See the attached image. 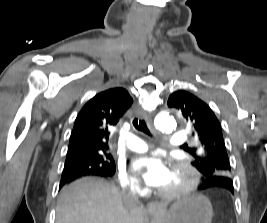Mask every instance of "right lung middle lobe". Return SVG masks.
<instances>
[{
	"mask_svg": "<svg viewBox=\"0 0 267 223\" xmlns=\"http://www.w3.org/2000/svg\"><path fill=\"white\" fill-rule=\"evenodd\" d=\"M63 171L110 176L115 172V162L110 152H93L88 149L83 155L67 156Z\"/></svg>",
	"mask_w": 267,
	"mask_h": 223,
	"instance_id": "1",
	"label": "right lung middle lobe"
}]
</instances>
